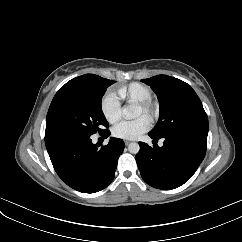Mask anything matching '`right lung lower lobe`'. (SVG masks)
I'll use <instances>...</instances> for the list:
<instances>
[{
    "label": "right lung lower lobe",
    "instance_id": "obj_1",
    "mask_svg": "<svg viewBox=\"0 0 242 242\" xmlns=\"http://www.w3.org/2000/svg\"><path fill=\"white\" fill-rule=\"evenodd\" d=\"M109 131L104 133L108 137ZM45 144L58 176L71 188L83 193H95L113 180L117 161L125 144L111 138L102 146L91 141V135L70 130L45 135Z\"/></svg>",
    "mask_w": 242,
    "mask_h": 242
}]
</instances>
